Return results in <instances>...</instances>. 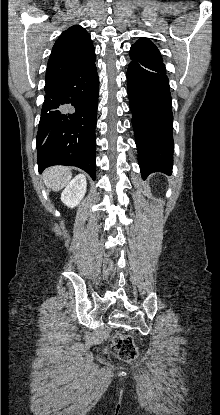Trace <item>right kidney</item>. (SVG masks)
Listing matches in <instances>:
<instances>
[{"label":"right kidney","instance_id":"right-kidney-1","mask_svg":"<svg viewBox=\"0 0 220 415\" xmlns=\"http://www.w3.org/2000/svg\"><path fill=\"white\" fill-rule=\"evenodd\" d=\"M87 189L86 177L83 174L77 175L66 186L61 194V201L68 207L77 206L84 198Z\"/></svg>","mask_w":220,"mask_h":415}]
</instances>
